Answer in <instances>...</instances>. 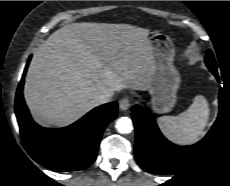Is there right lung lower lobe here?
<instances>
[{
	"label": "right lung lower lobe",
	"mask_w": 230,
	"mask_h": 186,
	"mask_svg": "<svg viewBox=\"0 0 230 186\" xmlns=\"http://www.w3.org/2000/svg\"><path fill=\"white\" fill-rule=\"evenodd\" d=\"M30 59L31 56L15 98V113L26 150L37 163L49 169L75 171L87 168L96 158L105 127L117 116V102L96 107L65 128L40 127L32 120L22 93Z\"/></svg>",
	"instance_id": "obj_1"
}]
</instances>
